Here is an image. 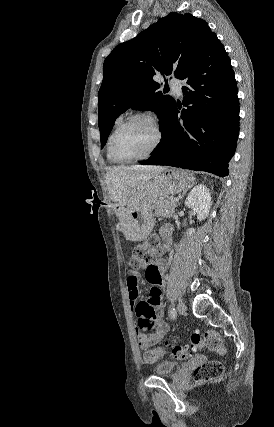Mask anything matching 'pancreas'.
<instances>
[{"label":"pancreas","mask_w":274,"mask_h":427,"mask_svg":"<svg viewBox=\"0 0 274 427\" xmlns=\"http://www.w3.org/2000/svg\"><path fill=\"white\" fill-rule=\"evenodd\" d=\"M154 206L155 214L162 215V217H172L176 208L173 198H168V200L166 198H158Z\"/></svg>","instance_id":"pancreas-1"}]
</instances>
